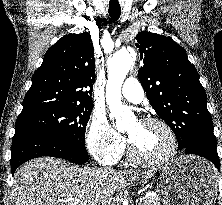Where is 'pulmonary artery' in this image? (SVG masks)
<instances>
[{"label": "pulmonary artery", "mask_w": 222, "mask_h": 205, "mask_svg": "<svg viewBox=\"0 0 222 205\" xmlns=\"http://www.w3.org/2000/svg\"><path fill=\"white\" fill-rule=\"evenodd\" d=\"M121 93L125 99L133 103H139L144 98L143 89L135 78H127L124 81Z\"/></svg>", "instance_id": "obj_1"}]
</instances>
